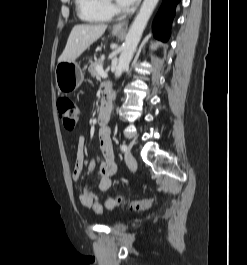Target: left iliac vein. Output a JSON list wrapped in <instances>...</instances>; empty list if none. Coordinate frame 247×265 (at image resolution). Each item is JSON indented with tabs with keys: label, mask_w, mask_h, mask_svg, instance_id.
Returning <instances> with one entry per match:
<instances>
[{
	"label": "left iliac vein",
	"mask_w": 247,
	"mask_h": 265,
	"mask_svg": "<svg viewBox=\"0 0 247 265\" xmlns=\"http://www.w3.org/2000/svg\"><path fill=\"white\" fill-rule=\"evenodd\" d=\"M124 157L127 166L131 169H135L137 166L136 160L128 150L125 151Z\"/></svg>",
	"instance_id": "left-iliac-vein-1"
}]
</instances>
